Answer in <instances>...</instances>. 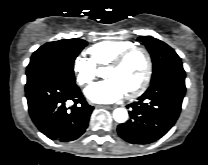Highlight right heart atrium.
I'll return each mask as SVG.
<instances>
[{"label":"right heart atrium","mask_w":208,"mask_h":165,"mask_svg":"<svg viewBox=\"0 0 208 165\" xmlns=\"http://www.w3.org/2000/svg\"><path fill=\"white\" fill-rule=\"evenodd\" d=\"M73 71L79 85H88L96 77V65L90 58L82 55L74 59Z\"/></svg>","instance_id":"obj_1"}]
</instances>
